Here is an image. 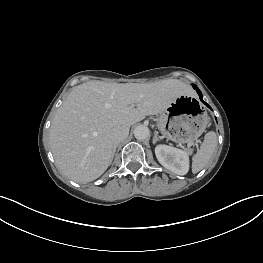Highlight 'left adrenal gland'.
I'll return each instance as SVG.
<instances>
[{
	"label": "left adrenal gland",
	"instance_id": "1",
	"mask_svg": "<svg viewBox=\"0 0 263 263\" xmlns=\"http://www.w3.org/2000/svg\"><path fill=\"white\" fill-rule=\"evenodd\" d=\"M160 139H161V137H159L156 133H154L153 144H155Z\"/></svg>",
	"mask_w": 263,
	"mask_h": 263
}]
</instances>
